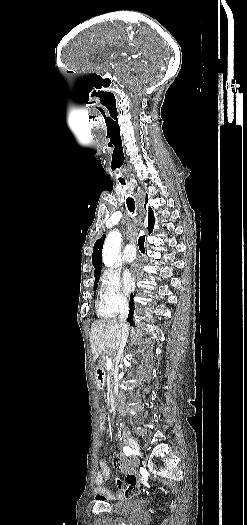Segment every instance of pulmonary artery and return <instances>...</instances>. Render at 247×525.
I'll return each instance as SVG.
<instances>
[{
	"mask_svg": "<svg viewBox=\"0 0 247 525\" xmlns=\"http://www.w3.org/2000/svg\"><path fill=\"white\" fill-rule=\"evenodd\" d=\"M123 254H124L125 261L127 263H132L134 261L133 245L132 244L127 245L123 251Z\"/></svg>",
	"mask_w": 247,
	"mask_h": 525,
	"instance_id": "pulmonary-artery-1",
	"label": "pulmonary artery"
}]
</instances>
